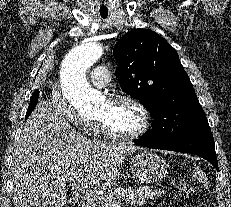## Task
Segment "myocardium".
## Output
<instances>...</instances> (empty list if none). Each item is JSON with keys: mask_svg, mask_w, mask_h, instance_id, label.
I'll list each match as a JSON object with an SVG mask.
<instances>
[{"mask_svg": "<svg viewBox=\"0 0 231 207\" xmlns=\"http://www.w3.org/2000/svg\"><path fill=\"white\" fill-rule=\"evenodd\" d=\"M108 102L127 103V104L132 105L140 113L142 122H141L140 128L136 130L135 132L130 133V134H123V133L114 132L108 127V125L104 121H102L101 119H97L101 132L105 137L111 140H115V141L126 142V141H133V140L139 139L149 131L151 127L150 112L146 108V106L142 102H140L138 99L130 95H115L112 98H110Z\"/></svg>", "mask_w": 231, "mask_h": 207, "instance_id": "myocardium-1", "label": "myocardium"}]
</instances>
